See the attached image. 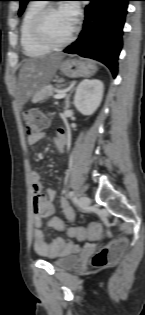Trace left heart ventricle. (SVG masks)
<instances>
[{
	"label": "left heart ventricle",
	"instance_id": "b2bd125f",
	"mask_svg": "<svg viewBox=\"0 0 145 315\" xmlns=\"http://www.w3.org/2000/svg\"><path fill=\"white\" fill-rule=\"evenodd\" d=\"M73 26L74 24L68 15L59 8L47 15L43 28L47 38L54 42H60L71 33Z\"/></svg>",
	"mask_w": 145,
	"mask_h": 315
}]
</instances>
